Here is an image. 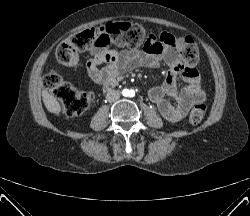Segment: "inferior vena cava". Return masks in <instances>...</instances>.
<instances>
[{"mask_svg":"<svg viewBox=\"0 0 250 216\" xmlns=\"http://www.w3.org/2000/svg\"><path fill=\"white\" fill-rule=\"evenodd\" d=\"M120 98V92L116 90H109L106 95L108 102H115Z\"/></svg>","mask_w":250,"mask_h":216,"instance_id":"inferior-vena-cava-1","label":"inferior vena cava"}]
</instances>
